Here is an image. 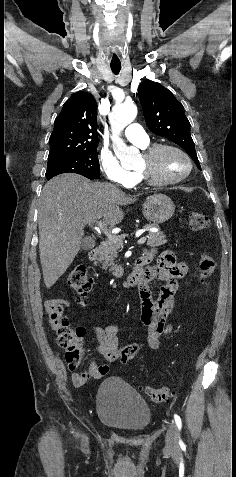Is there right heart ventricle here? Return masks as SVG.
<instances>
[{
    "label": "right heart ventricle",
    "instance_id": "e07e8e85",
    "mask_svg": "<svg viewBox=\"0 0 236 477\" xmlns=\"http://www.w3.org/2000/svg\"><path fill=\"white\" fill-rule=\"evenodd\" d=\"M147 146L143 147V148H146ZM133 178H134V184L140 182V178L139 176L137 175V173H133Z\"/></svg>",
    "mask_w": 236,
    "mask_h": 477
}]
</instances>
